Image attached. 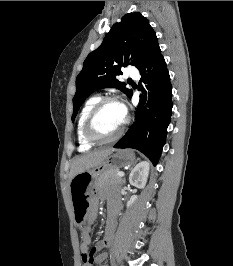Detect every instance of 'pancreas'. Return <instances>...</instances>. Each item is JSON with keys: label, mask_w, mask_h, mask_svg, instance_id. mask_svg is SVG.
I'll return each instance as SVG.
<instances>
[{"label": "pancreas", "mask_w": 233, "mask_h": 266, "mask_svg": "<svg viewBox=\"0 0 233 266\" xmlns=\"http://www.w3.org/2000/svg\"><path fill=\"white\" fill-rule=\"evenodd\" d=\"M118 172V170L102 172L97 179V188L121 185L122 178L117 175Z\"/></svg>", "instance_id": "cf45deb5"}]
</instances>
